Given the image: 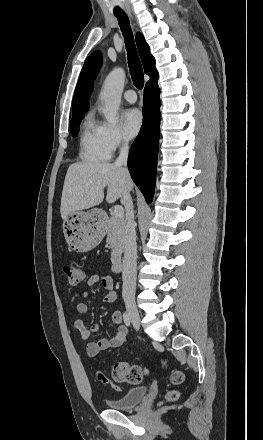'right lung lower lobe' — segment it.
<instances>
[{
    "mask_svg": "<svg viewBox=\"0 0 263 440\" xmlns=\"http://www.w3.org/2000/svg\"><path fill=\"white\" fill-rule=\"evenodd\" d=\"M160 89L158 78L148 81L144 89L143 124L131 146L128 168L133 181L150 203L154 195L160 123Z\"/></svg>",
    "mask_w": 263,
    "mask_h": 440,
    "instance_id": "right-lung-lower-lobe-1",
    "label": "right lung lower lobe"
}]
</instances>
